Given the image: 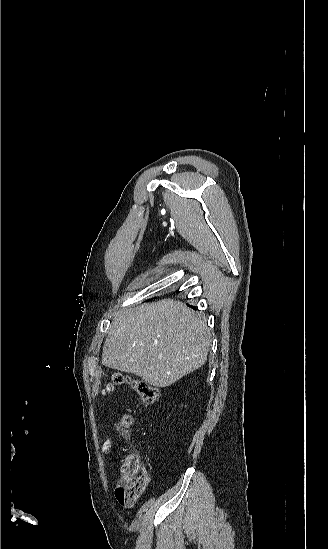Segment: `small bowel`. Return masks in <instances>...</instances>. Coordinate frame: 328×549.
I'll use <instances>...</instances> for the list:
<instances>
[{
	"label": "small bowel",
	"instance_id": "small-bowel-1",
	"mask_svg": "<svg viewBox=\"0 0 328 549\" xmlns=\"http://www.w3.org/2000/svg\"><path fill=\"white\" fill-rule=\"evenodd\" d=\"M115 445H116L115 439L112 438V437L109 438V439L104 443V445H103V448H102L103 453H104L106 456H109V455L113 452V450H114V448H115ZM118 501H119V500H118ZM119 502H120V501H119ZM120 503H121V504H124V503H122V502H120Z\"/></svg>",
	"mask_w": 328,
	"mask_h": 549
}]
</instances>
